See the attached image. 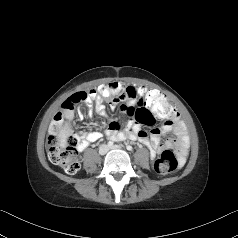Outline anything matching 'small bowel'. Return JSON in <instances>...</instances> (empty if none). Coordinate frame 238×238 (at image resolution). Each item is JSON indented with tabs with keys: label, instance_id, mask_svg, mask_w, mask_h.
Segmentation results:
<instances>
[{
	"label": "small bowel",
	"instance_id": "1",
	"mask_svg": "<svg viewBox=\"0 0 238 238\" xmlns=\"http://www.w3.org/2000/svg\"><path fill=\"white\" fill-rule=\"evenodd\" d=\"M135 89L136 87L134 86H126L122 88V94H119L117 97L119 98V102H122V112L130 115V120L123 129H121L116 120H110L105 129V135L115 141H123L125 139L137 140L149 148L152 158L165 149L170 148L172 145H175L179 160L182 163L189 147V137L184 123L179 119L178 114L174 112L171 117L164 119V123L161 127H156L158 119L154 116L152 111L148 110L149 100L144 96H138ZM99 96L100 94H97L96 91L90 90L83 101L89 108L93 107L97 115L105 116V106L100 102ZM117 104L118 103H110L111 107H115ZM135 106H137V108H135ZM62 108L63 111L55 115L50 131L53 132L54 126L59 125L63 127L60 135L64 137L66 133V122L74 118V111L73 108H65L63 105ZM78 116L82 118V113L79 112ZM142 125L152 128L150 133L142 129ZM169 132H173L176 138L162 142L161 136ZM102 136L103 134L99 131H81L78 136H76L77 149L79 151L85 150L91 143L99 140Z\"/></svg>",
	"mask_w": 238,
	"mask_h": 238
}]
</instances>
